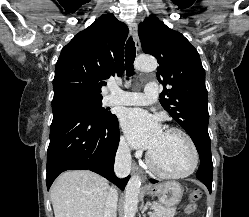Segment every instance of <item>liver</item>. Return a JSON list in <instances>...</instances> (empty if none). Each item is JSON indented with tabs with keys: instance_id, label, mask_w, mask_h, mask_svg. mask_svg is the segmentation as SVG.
<instances>
[{
	"instance_id": "obj_1",
	"label": "liver",
	"mask_w": 249,
	"mask_h": 217,
	"mask_svg": "<svg viewBox=\"0 0 249 217\" xmlns=\"http://www.w3.org/2000/svg\"><path fill=\"white\" fill-rule=\"evenodd\" d=\"M108 181L89 170L61 174L51 187L55 217H103Z\"/></svg>"
}]
</instances>
